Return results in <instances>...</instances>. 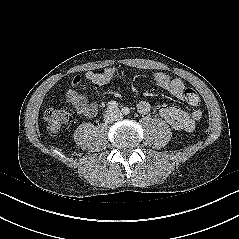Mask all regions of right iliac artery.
<instances>
[{
    "label": "right iliac artery",
    "mask_w": 239,
    "mask_h": 239,
    "mask_svg": "<svg viewBox=\"0 0 239 239\" xmlns=\"http://www.w3.org/2000/svg\"><path fill=\"white\" fill-rule=\"evenodd\" d=\"M108 109H115L118 107V103L116 101H111L107 104Z\"/></svg>",
    "instance_id": "82829eb1"
}]
</instances>
